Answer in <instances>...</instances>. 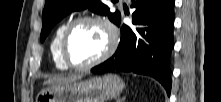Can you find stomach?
<instances>
[{
    "mask_svg": "<svg viewBox=\"0 0 221 102\" xmlns=\"http://www.w3.org/2000/svg\"><path fill=\"white\" fill-rule=\"evenodd\" d=\"M123 88L124 82L119 76L107 74L43 89L36 102H106L118 96Z\"/></svg>",
    "mask_w": 221,
    "mask_h": 102,
    "instance_id": "obj_1",
    "label": "stomach"
}]
</instances>
